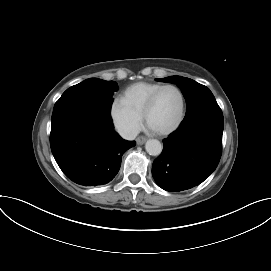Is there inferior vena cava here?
Returning a JSON list of instances; mask_svg holds the SVG:
<instances>
[{
  "label": "inferior vena cava",
  "mask_w": 271,
  "mask_h": 271,
  "mask_svg": "<svg viewBox=\"0 0 271 271\" xmlns=\"http://www.w3.org/2000/svg\"><path fill=\"white\" fill-rule=\"evenodd\" d=\"M138 130L135 129H126L120 132V135L122 138L126 140H134L136 136L138 135Z\"/></svg>",
  "instance_id": "1"
}]
</instances>
